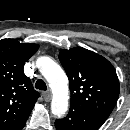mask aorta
<instances>
[{
    "label": "aorta",
    "mask_w": 130,
    "mask_h": 130,
    "mask_svg": "<svg viewBox=\"0 0 130 130\" xmlns=\"http://www.w3.org/2000/svg\"><path fill=\"white\" fill-rule=\"evenodd\" d=\"M37 66L52 90L51 111L53 115L62 117L68 110V78L62 68L49 57H39Z\"/></svg>",
    "instance_id": "obj_1"
}]
</instances>
